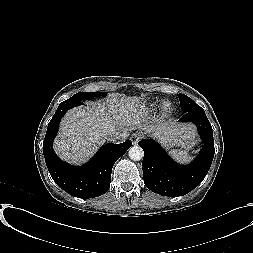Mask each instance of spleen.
Instances as JSON below:
<instances>
[{"label":"spleen","mask_w":253,"mask_h":253,"mask_svg":"<svg viewBox=\"0 0 253 253\" xmlns=\"http://www.w3.org/2000/svg\"><path fill=\"white\" fill-rule=\"evenodd\" d=\"M171 155L172 157L179 161V162H188L191 160V156L189 155V152L187 149H184V150H172L171 151Z\"/></svg>","instance_id":"3e777b00"}]
</instances>
